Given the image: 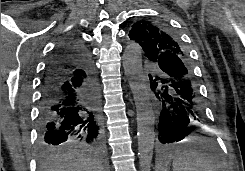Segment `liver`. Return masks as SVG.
<instances>
[{
	"instance_id": "obj_1",
	"label": "liver",
	"mask_w": 245,
	"mask_h": 171,
	"mask_svg": "<svg viewBox=\"0 0 245 171\" xmlns=\"http://www.w3.org/2000/svg\"><path fill=\"white\" fill-rule=\"evenodd\" d=\"M41 171H104L103 165L84 153L69 151L43 163Z\"/></svg>"
}]
</instances>
